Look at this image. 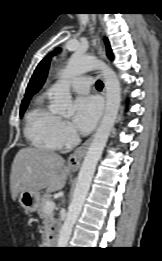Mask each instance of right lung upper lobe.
Listing matches in <instances>:
<instances>
[{
    "label": "right lung upper lobe",
    "mask_w": 162,
    "mask_h": 261,
    "mask_svg": "<svg viewBox=\"0 0 162 261\" xmlns=\"http://www.w3.org/2000/svg\"><path fill=\"white\" fill-rule=\"evenodd\" d=\"M48 68H49V62L42 69V71L39 74L38 78L34 82H31L28 85V87L26 89V93H25V98L22 100V102L23 101H27V100L30 101L32 95H34L35 93H37L39 91V89L42 87V85L45 82V79H46V76H47V72H48Z\"/></svg>",
    "instance_id": "cb5924a9"
}]
</instances>
